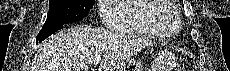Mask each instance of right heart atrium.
<instances>
[{
    "label": "right heart atrium",
    "instance_id": "1",
    "mask_svg": "<svg viewBox=\"0 0 230 71\" xmlns=\"http://www.w3.org/2000/svg\"><path fill=\"white\" fill-rule=\"evenodd\" d=\"M118 2H121V0H101L100 1L101 8H100L99 13H100V16L104 24L109 26L111 22V17L109 15L107 7L111 6L112 4L118 3Z\"/></svg>",
    "mask_w": 230,
    "mask_h": 71
}]
</instances>
